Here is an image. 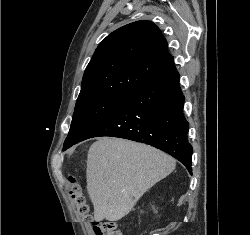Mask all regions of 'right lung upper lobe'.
<instances>
[{
  "label": "right lung upper lobe",
  "mask_w": 250,
  "mask_h": 235,
  "mask_svg": "<svg viewBox=\"0 0 250 235\" xmlns=\"http://www.w3.org/2000/svg\"><path fill=\"white\" fill-rule=\"evenodd\" d=\"M172 61L167 41L153 22L125 25L97 47L85 70L78 99L96 93L134 94Z\"/></svg>",
  "instance_id": "right-lung-upper-lobe-1"
}]
</instances>
